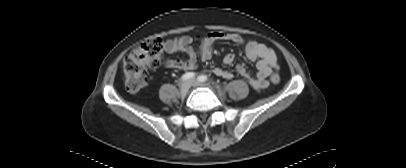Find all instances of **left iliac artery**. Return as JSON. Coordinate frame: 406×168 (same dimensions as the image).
<instances>
[{
    "instance_id": "left-iliac-artery-1",
    "label": "left iliac artery",
    "mask_w": 406,
    "mask_h": 168,
    "mask_svg": "<svg viewBox=\"0 0 406 168\" xmlns=\"http://www.w3.org/2000/svg\"><path fill=\"white\" fill-rule=\"evenodd\" d=\"M198 81H200V82H205V81H207V76H206V75H201V76H199V77H198Z\"/></svg>"
}]
</instances>
